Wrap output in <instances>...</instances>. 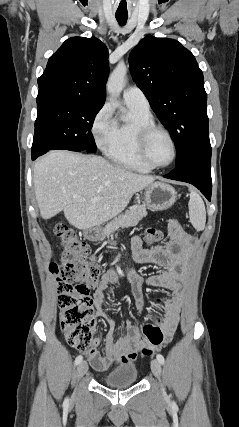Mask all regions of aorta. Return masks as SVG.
<instances>
[{"label": "aorta", "mask_w": 239, "mask_h": 427, "mask_svg": "<svg viewBox=\"0 0 239 427\" xmlns=\"http://www.w3.org/2000/svg\"><path fill=\"white\" fill-rule=\"evenodd\" d=\"M127 67L124 64H118L111 73L108 83L107 91L113 97H118L122 92L126 83Z\"/></svg>", "instance_id": "obj_1"}]
</instances>
